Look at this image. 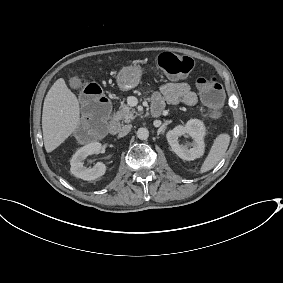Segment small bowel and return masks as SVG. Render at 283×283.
<instances>
[{
    "mask_svg": "<svg viewBox=\"0 0 283 283\" xmlns=\"http://www.w3.org/2000/svg\"><path fill=\"white\" fill-rule=\"evenodd\" d=\"M198 101L196 93L185 82H169L164 84L160 91L153 95V104L162 108L165 104H184L194 106Z\"/></svg>",
    "mask_w": 283,
    "mask_h": 283,
    "instance_id": "small-bowel-1",
    "label": "small bowel"
}]
</instances>
